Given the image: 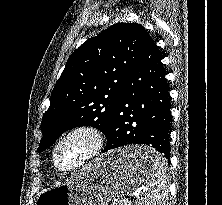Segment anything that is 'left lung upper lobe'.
Instances as JSON below:
<instances>
[{
	"label": "left lung upper lobe",
	"mask_w": 222,
	"mask_h": 205,
	"mask_svg": "<svg viewBox=\"0 0 222 205\" xmlns=\"http://www.w3.org/2000/svg\"><path fill=\"white\" fill-rule=\"evenodd\" d=\"M149 38L140 24L117 23L71 54L42 118L39 153L75 127L108 134L127 76Z\"/></svg>",
	"instance_id": "obj_1"
}]
</instances>
